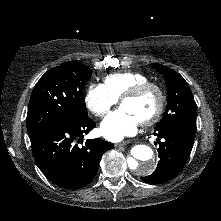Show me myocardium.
I'll list each match as a JSON object with an SVG mask.
<instances>
[{
	"label": "myocardium",
	"instance_id": "f54148a6",
	"mask_svg": "<svg viewBox=\"0 0 221 221\" xmlns=\"http://www.w3.org/2000/svg\"><path fill=\"white\" fill-rule=\"evenodd\" d=\"M149 90H154L158 95V104L155 112L145 120L141 121V125L148 126L151 124H154L159 120L161 117L164 107H165V94L163 92V89L154 82H145L142 84H139L132 88L131 90L127 91L121 98H120V104L123 103V101L127 99L137 98L146 93Z\"/></svg>",
	"mask_w": 221,
	"mask_h": 221
}]
</instances>
